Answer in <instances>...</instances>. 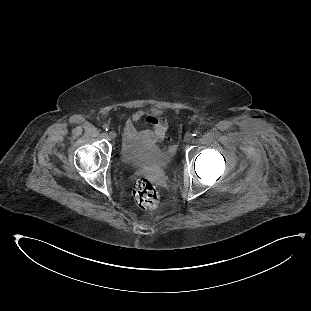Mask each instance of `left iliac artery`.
<instances>
[{"label":"left iliac artery","mask_w":311,"mask_h":311,"mask_svg":"<svg viewBox=\"0 0 311 311\" xmlns=\"http://www.w3.org/2000/svg\"><path fill=\"white\" fill-rule=\"evenodd\" d=\"M198 134H199V131L195 130V131H193L192 136H197Z\"/></svg>","instance_id":"44dca946"}]
</instances>
